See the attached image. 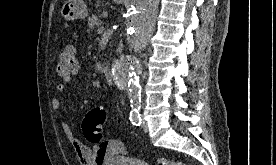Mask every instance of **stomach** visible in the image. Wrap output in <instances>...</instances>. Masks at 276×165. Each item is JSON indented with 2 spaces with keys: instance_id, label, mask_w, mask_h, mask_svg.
I'll return each mask as SVG.
<instances>
[{
  "instance_id": "0dacf381",
  "label": "stomach",
  "mask_w": 276,
  "mask_h": 165,
  "mask_svg": "<svg viewBox=\"0 0 276 165\" xmlns=\"http://www.w3.org/2000/svg\"><path fill=\"white\" fill-rule=\"evenodd\" d=\"M115 1L122 2V0ZM61 15L68 21L84 19L88 15L87 6L83 0H67L61 9Z\"/></svg>"
}]
</instances>
